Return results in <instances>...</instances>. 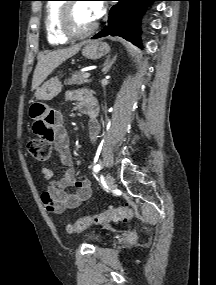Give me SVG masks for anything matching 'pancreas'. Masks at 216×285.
I'll return each instance as SVG.
<instances>
[{"label":"pancreas","instance_id":"pancreas-1","mask_svg":"<svg viewBox=\"0 0 216 285\" xmlns=\"http://www.w3.org/2000/svg\"><path fill=\"white\" fill-rule=\"evenodd\" d=\"M84 74H85L84 72H75V73H73L71 78L66 81V85H73V84L81 85V84H84V83L91 82L90 79H87V78L83 77Z\"/></svg>","mask_w":216,"mask_h":285}]
</instances>
